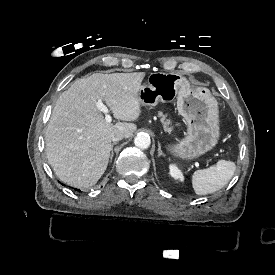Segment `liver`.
Masks as SVG:
<instances>
[{
  "mask_svg": "<svg viewBox=\"0 0 275 275\" xmlns=\"http://www.w3.org/2000/svg\"><path fill=\"white\" fill-rule=\"evenodd\" d=\"M144 76V72L95 73L75 80L60 95L45 133V151L61 181L89 188L101 178L114 132L121 130L128 138L137 127L134 123L106 122L96 102L104 101L116 119L136 120L141 112L137 93Z\"/></svg>",
  "mask_w": 275,
  "mask_h": 275,
  "instance_id": "6515ba94",
  "label": "liver"
}]
</instances>
